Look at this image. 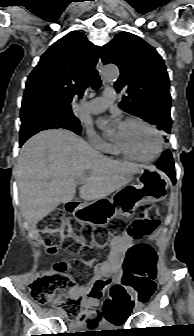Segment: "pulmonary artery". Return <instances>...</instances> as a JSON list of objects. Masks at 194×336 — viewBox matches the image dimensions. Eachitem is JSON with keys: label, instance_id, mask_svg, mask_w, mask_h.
Here are the masks:
<instances>
[{"label": "pulmonary artery", "instance_id": "e3ab8cb5", "mask_svg": "<svg viewBox=\"0 0 194 336\" xmlns=\"http://www.w3.org/2000/svg\"><path fill=\"white\" fill-rule=\"evenodd\" d=\"M116 98V93L113 89H106L102 97L92 99L87 103L86 108L91 113H100L107 109Z\"/></svg>", "mask_w": 194, "mask_h": 336}]
</instances>
